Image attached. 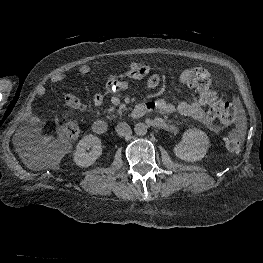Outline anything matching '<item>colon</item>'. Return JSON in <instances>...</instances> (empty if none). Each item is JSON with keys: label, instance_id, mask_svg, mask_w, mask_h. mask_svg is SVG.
Here are the masks:
<instances>
[{"label": "colon", "instance_id": "colon-1", "mask_svg": "<svg viewBox=\"0 0 263 263\" xmlns=\"http://www.w3.org/2000/svg\"><path fill=\"white\" fill-rule=\"evenodd\" d=\"M181 82L194 88L199 99L209 107V115L218 120L223 125L231 124L236 117L235 106L217 98L212 88V78L210 73L200 67L189 68L184 70L180 76ZM62 131L69 139H76L79 135V126L73 121H67L62 127ZM224 144L230 152H239L243 144V135L240 131H231L224 136Z\"/></svg>", "mask_w": 263, "mask_h": 263}]
</instances>
